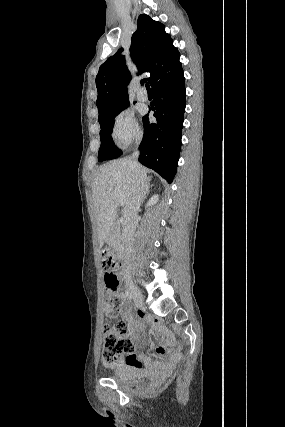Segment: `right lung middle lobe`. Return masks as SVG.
<instances>
[{
  "label": "right lung middle lobe",
  "mask_w": 285,
  "mask_h": 427,
  "mask_svg": "<svg viewBox=\"0 0 285 427\" xmlns=\"http://www.w3.org/2000/svg\"><path fill=\"white\" fill-rule=\"evenodd\" d=\"M122 110L114 113L113 115L109 116L107 119L99 122L101 127V131H100L101 146L98 153V160L100 162L104 160L114 159L122 155V151L116 147V145L114 144L111 138V132L114 125V118Z\"/></svg>",
  "instance_id": "obj_1"
}]
</instances>
